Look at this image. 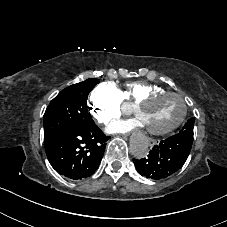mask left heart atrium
Segmentation results:
<instances>
[{"label":"left heart atrium","instance_id":"39dd6f15","mask_svg":"<svg viewBox=\"0 0 227 227\" xmlns=\"http://www.w3.org/2000/svg\"><path fill=\"white\" fill-rule=\"evenodd\" d=\"M138 125L136 121L125 120V121H116L109 125L107 131L110 133H129L134 130Z\"/></svg>","mask_w":227,"mask_h":227}]
</instances>
